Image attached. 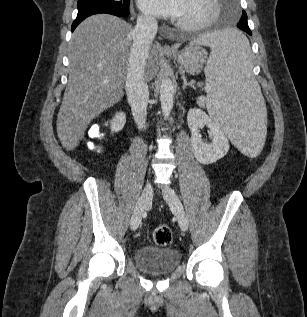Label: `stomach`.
I'll use <instances>...</instances> for the list:
<instances>
[{
  "label": "stomach",
  "mask_w": 307,
  "mask_h": 317,
  "mask_svg": "<svg viewBox=\"0 0 307 317\" xmlns=\"http://www.w3.org/2000/svg\"><path fill=\"white\" fill-rule=\"evenodd\" d=\"M206 58V51L199 46H189L175 56V59L184 71L191 75L201 72Z\"/></svg>",
  "instance_id": "1"
}]
</instances>
